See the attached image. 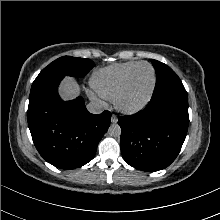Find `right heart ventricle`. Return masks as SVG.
Listing matches in <instances>:
<instances>
[{
    "mask_svg": "<svg viewBox=\"0 0 220 220\" xmlns=\"http://www.w3.org/2000/svg\"><path fill=\"white\" fill-rule=\"evenodd\" d=\"M137 63H117L97 70L91 76V87L99 96L105 99H113L127 73Z\"/></svg>",
    "mask_w": 220,
    "mask_h": 220,
    "instance_id": "right-heart-ventricle-1",
    "label": "right heart ventricle"
}]
</instances>
